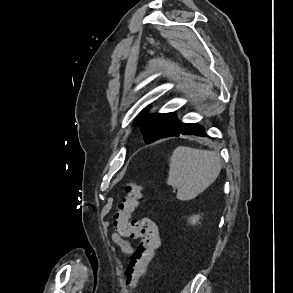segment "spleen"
Masks as SVG:
<instances>
[{
    "instance_id": "obj_1",
    "label": "spleen",
    "mask_w": 293,
    "mask_h": 293,
    "mask_svg": "<svg viewBox=\"0 0 293 293\" xmlns=\"http://www.w3.org/2000/svg\"><path fill=\"white\" fill-rule=\"evenodd\" d=\"M220 170L217 152L179 146L169 161L167 184L178 189L179 200H192L216 180Z\"/></svg>"
}]
</instances>
